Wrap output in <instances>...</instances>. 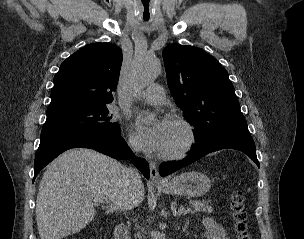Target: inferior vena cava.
I'll return each instance as SVG.
<instances>
[{"label":"inferior vena cava","instance_id":"obj_1","mask_svg":"<svg viewBox=\"0 0 304 239\" xmlns=\"http://www.w3.org/2000/svg\"><path fill=\"white\" fill-rule=\"evenodd\" d=\"M133 150L138 151L136 147H133ZM125 174H126L127 185L130 189L134 188L136 185H138L141 182L140 175L136 168H127ZM132 207H135V205H133ZM135 221H137V219Z\"/></svg>","mask_w":304,"mask_h":239}]
</instances>
